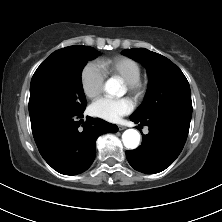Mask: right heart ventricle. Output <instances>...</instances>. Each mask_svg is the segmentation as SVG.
<instances>
[{"mask_svg": "<svg viewBox=\"0 0 222 222\" xmlns=\"http://www.w3.org/2000/svg\"><path fill=\"white\" fill-rule=\"evenodd\" d=\"M100 66L107 75L118 76L124 82H132L140 79L142 69L140 64L126 56H115L104 59L100 62Z\"/></svg>", "mask_w": 222, "mask_h": 222, "instance_id": "1", "label": "right heart ventricle"}]
</instances>
